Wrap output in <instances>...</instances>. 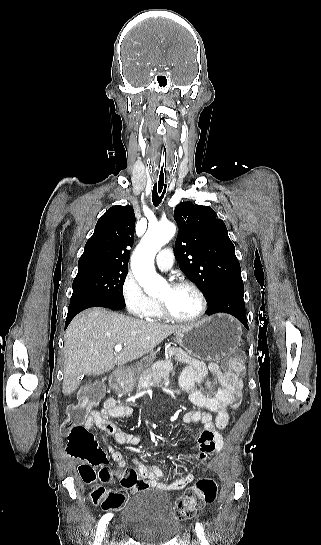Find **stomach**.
<instances>
[{
  "instance_id": "1",
  "label": "stomach",
  "mask_w": 321,
  "mask_h": 545,
  "mask_svg": "<svg viewBox=\"0 0 321 545\" xmlns=\"http://www.w3.org/2000/svg\"><path fill=\"white\" fill-rule=\"evenodd\" d=\"M241 337V325L230 315L204 317L175 333L176 343L191 357L202 361H216L220 357H226L230 351L238 349ZM155 357L156 353H150L144 359V365L138 363L137 367H149Z\"/></svg>"
}]
</instances>
